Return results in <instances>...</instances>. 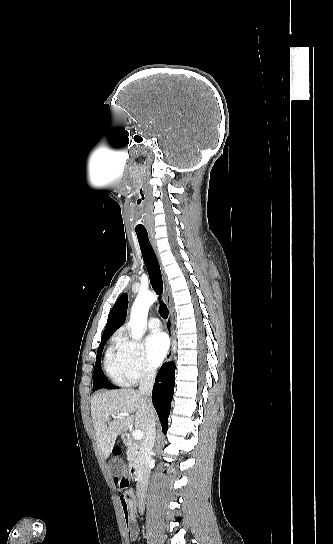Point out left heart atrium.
Segmentation results:
<instances>
[{
	"mask_svg": "<svg viewBox=\"0 0 333 544\" xmlns=\"http://www.w3.org/2000/svg\"><path fill=\"white\" fill-rule=\"evenodd\" d=\"M169 347L167 336L162 332H155L148 336L145 343L146 356L149 363L157 367L165 358Z\"/></svg>",
	"mask_w": 333,
	"mask_h": 544,
	"instance_id": "39dd6f15",
	"label": "left heart atrium"
}]
</instances>
